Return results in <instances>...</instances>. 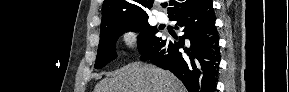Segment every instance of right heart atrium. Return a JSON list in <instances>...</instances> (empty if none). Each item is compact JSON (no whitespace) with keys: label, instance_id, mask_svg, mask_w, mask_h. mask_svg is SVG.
Here are the masks:
<instances>
[{"label":"right heart atrium","instance_id":"obj_1","mask_svg":"<svg viewBox=\"0 0 289 92\" xmlns=\"http://www.w3.org/2000/svg\"><path fill=\"white\" fill-rule=\"evenodd\" d=\"M123 46L129 50H134L139 46L140 33L135 29H127L120 35Z\"/></svg>","mask_w":289,"mask_h":92}]
</instances>
